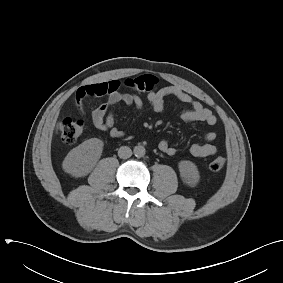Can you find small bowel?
<instances>
[{
  "instance_id": "obj_1",
  "label": "small bowel",
  "mask_w": 283,
  "mask_h": 283,
  "mask_svg": "<svg viewBox=\"0 0 283 283\" xmlns=\"http://www.w3.org/2000/svg\"><path fill=\"white\" fill-rule=\"evenodd\" d=\"M121 83L118 80L93 83L80 87L75 95V103L80 113H84V99L88 96H106V102L99 105L91 114V120L96 129L101 132H109L112 137L120 138L124 132L115 126L114 108L123 103L125 106L140 112L144 109L142 98L136 94L123 93L120 91ZM173 96L187 108L180 112V117L187 123L204 122L209 126L216 124L217 119L213 112L204 107L177 86H166L157 91L150 92L147 96L148 107L154 113L164 111L165 98ZM217 138V133L213 130L205 134L204 143H194L190 146V153L195 157H208L216 154L217 147L213 142ZM160 151L168 156L176 154V149L166 140H161L158 144Z\"/></svg>"
}]
</instances>
